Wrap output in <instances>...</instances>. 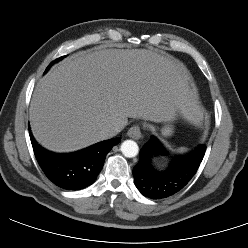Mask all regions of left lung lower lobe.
<instances>
[{"label":"left lung lower lobe","instance_id":"0a47b994","mask_svg":"<svg viewBox=\"0 0 248 248\" xmlns=\"http://www.w3.org/2000/svg\"><path fill=\"white\" fill-rule=\"evenodd\" d=\"M204 144L178 156H174L169 167L157 171L152 159L167 156L168 152L154 137L141 148L139 162L133 168L135 185L142 195L150 199H163L182 190L197 172L205 155Z\"/></svg>","mask_w":248,"mask_h":248}]
</instances>
